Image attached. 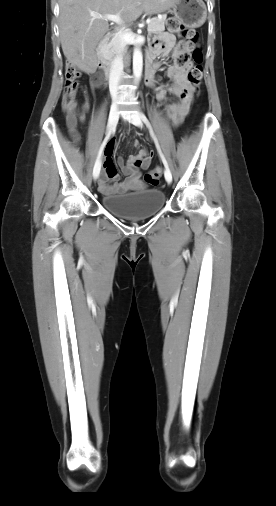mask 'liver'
<instances>
[{
    "mask_svg": "<svg viewBox=\"0 0 276 506\" xmlns=\"http://www.w3.org/2000/svg\"><path fill=\"white\" fill-rule=\"evenodd\" d=\"M177 0H59L60 41L68 62L92 73L97 67L95 48L109 30L108 20L91 14L116 15L132 22L143 12L156 14Z\"/></svg>",
    "mask_w": 276,
    "mask_h": 506,
    "instance_id": "1",
    "label": "liver"
}]
</instances>
